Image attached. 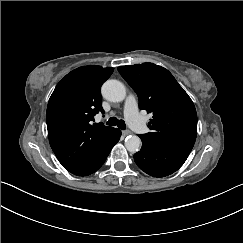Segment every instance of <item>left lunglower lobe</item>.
<instances>
[{"mask_svg":"<svg viewBox=\"0 0 243 243\" xmlns=\"http://www.w3.org/2000/svg\"><path fill=\"white\" fill-rule=\"evenodd\" d=\"M142 148L134 154L137 166L153 177L168 176L177 171L190 152L171 149L142 139Z\"/></svg>","mask_w":243,"mask_h":243,"instance_id":"obj_1","label":"left lung lower lobe"}]
</instances>
